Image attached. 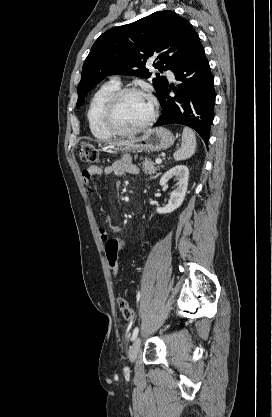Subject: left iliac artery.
<instances>
[{"instance_id": "1", "label": "left iliac artery", "mask_w": 272, "mask_h": 417, "mask_svg": "<svg viewBox=\"0 0 272 417\" xmlns=\"http://www.w3.org/2000/svg\"><path fill=\"white\" fill-rule=\"evenodd\" d=\"M138 332H139V329H138V327H136V328L133 330V333H132V337H131V340H132V341H134V340L136 339V337H137V335H138Z\"/></svg>"}]
</instances>
